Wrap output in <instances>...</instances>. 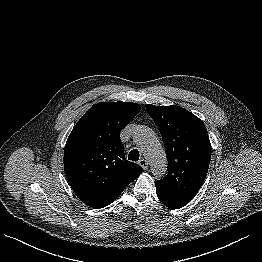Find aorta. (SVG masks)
<instances>
[{"label": "aorta", "instance_id": "1", "mask_svg": "<svg viewBox=\"0 0 262 262\" xmlns=\"http://www.w3.org/2000/svg\"><path fill=\"white\" fill-rule=\"evenodd\" d=\"M133 139L149 161L153 175L157 179L162 178L167 172V158L154 131L145 125H140L136 128Z\"/></svg>", "mask_w": 262, "mask_h": 262}]
</instances>
